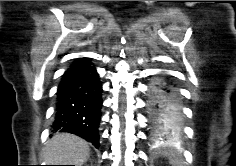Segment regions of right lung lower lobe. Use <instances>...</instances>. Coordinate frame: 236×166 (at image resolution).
I'll list each match as a JSON object with an SVG mask.
<instances>
[{
  "mask_svg": "<svg viewBox=\"0 0 236 166\" xmlns=\"http://www.w3.org/2000/svg\"><path fill=\"white\" fill-rule=\"evenodd\" d=\"M102 91L90 59L73 63L58 86L52 131L76 134L98 148Z\"/></svg>",
  "mask_w": 236,
  "mask_h": 166,
  "instance_id": "98d812e1",
  "label": "right lung lower lobe"
}]
</instances>
